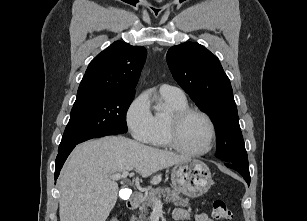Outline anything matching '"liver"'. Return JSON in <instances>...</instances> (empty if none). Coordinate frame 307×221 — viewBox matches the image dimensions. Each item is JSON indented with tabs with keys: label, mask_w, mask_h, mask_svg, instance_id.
Listing matches in <instances>:
<instances>
[{
	"label": "liver",
	"mask_w": 307,
	"mask_h": 221,
	"mask_svg": "<svg viewBox=\"0 0 307 221\" xmlns=\"http://www.w3.org/2000/svg\"><path fill=\"white\" fill-rule=\"evenodd\" d=\"M189 160L122 136H108L79 144L58 179L60 221H106L118 196L112 175L135 169L151 183L162 180L164 168Z\"/></svg>",
	"instance_id": "6515ba94"
}]
</instances>
